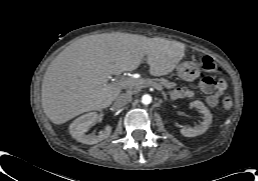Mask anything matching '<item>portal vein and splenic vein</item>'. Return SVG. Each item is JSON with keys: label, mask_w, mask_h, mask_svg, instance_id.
Here are the masks:
<instances>
[{"label": "portal vein and splenic vein", "mask_w": 258, "mask_h": 181, "mask_svg": "<svg viewBox=\"0 0 258 181\" xmlns=\"http://www.w3.org/2000/svg\"><path fill=\"white\" fill-rule=\"evenodd\" d=\"M128 85V86H136V87H144L143 84L144 82L143 81H134V80H130V81H126V82H119L117 85ZM154 88H156L157 90H162V87H158V86H153Z\"/></svg>", "instance_id": "obj_1"}]
</instances>
